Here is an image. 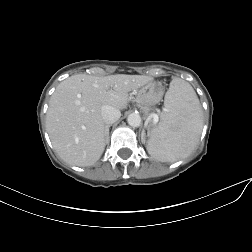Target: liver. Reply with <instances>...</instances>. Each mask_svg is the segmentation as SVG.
Returning <instances> with one entry per match:
<instances>
[{
  "label": "liver",
  "instance_id": "1",
  "mask_svg": "<svg viewBox=\"0 0 252 252\" xmlns=\"http://www.w3.org/2000/svg\"><path fill=\"white\" fill-rule=\"evenodd\" d=\"M151 80L145 75L77 74L62 81L50 98L46 114V129L60 158L81 167L96 163L105 149L102 106L125 109L128 93Z\"/></svg>",
  "mask_w": 252,
  "mask_h": 252
}]
</instances>
